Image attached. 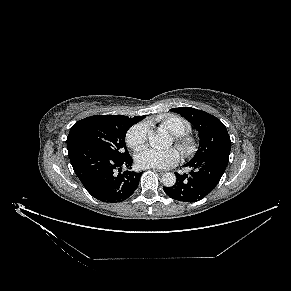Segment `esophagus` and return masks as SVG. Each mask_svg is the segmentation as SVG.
Here are the masks:
<instances>
[{"label":"esophagus","mask_w":291,"mask_h":291,"mask_svg":"<svg viewBox=\"0 0 291 291\" xmlns=\"http://www.w3.org/2000/svg\"><path fill=\"white\" fill-rule=\"evenodd\" d=\"M154 172H157L158 174L162 175L164 173V171L162 170H157V169H153Z\"/></svg>","instance_id":"34e87169"}]
</instances>
